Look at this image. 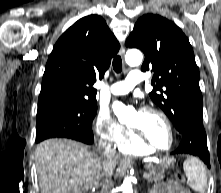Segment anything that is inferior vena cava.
<instances>
[{"label": "inferior vena cava", "instance_id": "1", "mask_svg": "<svg viewBox=\"0 0 221 193\" xmlns=\"http://www.w3.org/2000/svg\"><path fill=\"white\" fill-rule=\"evenodd\" d=\"M99 148H101L105 153L112 152L111 146L106 145V143H100ZM101 193H109V186L108 184L103 186Z\"/></svg>", "mask_w": 221, "mask_h": 193}]
</instances>
